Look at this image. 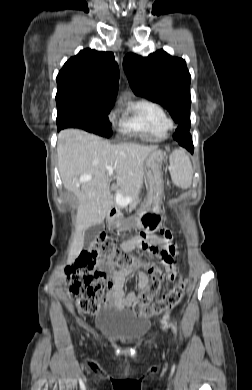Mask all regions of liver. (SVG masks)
I'll use <instances>...</instances> for the list:
<instances>
[{
	"instance_id": "obj_1",
	"label": "liver",
	"mask_w": 252,
	"mask_h": 390,
	"mask_svg": "<svg viewBox=\"0 0 252 390\" xmlns=\"http://www.w3.org/2000/svg\"><path fill=\"white\" fill-rule=\"evenodd\" d=\"M156 151L154 146L133 143L111 144L103 138L79 129H65L58 135V166L63 186L78 199L76 232L69 246L72 263L84 246L85 231L104 221L113 202L109 177L126 194L137 195L143 183L144 162ZM112 167L109 171L106 167ZM83 175L92 179L80 182Z\"/></svg>"
}]
</instances>
